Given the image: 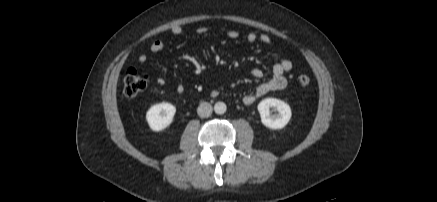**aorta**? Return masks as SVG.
<instances>
[{"mask_svg":"<svg viewBox=\"0 0 437 202\" xmlns=\"http://www.w3.org/2000/svg\"><path fill=\"white\" fill-rule=\"evenodd\" d=\"M227 110L226 104L224 102H217L214 105V111L216 114H224Z\"/></svg>","mask_w":437,"mask_h":202,"instance_id":"obj_1","label":"aorta"}]
</instances>
